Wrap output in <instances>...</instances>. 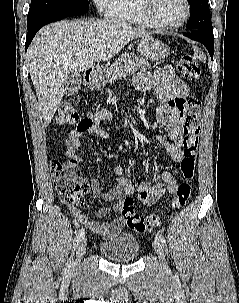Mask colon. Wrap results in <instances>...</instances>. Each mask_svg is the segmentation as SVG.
<instances>
[{
	"mask_svg": "<svg viewBox=\"0 0 239 303\" xmlns=\"http://www.w3.org/2000/svg\"><path fill=\"white\" fill-rule=\"evenodd\" d=\"M178 69L185 78L191 80L200 78L201 72L198 62L191 55L186 54L181 57ZM201 111V101L197 97L191 96L187 102V115L183 125V157L180 161L183 181L178 185L172 200L174 208L183 207L190 199L192 193L201 129ZM80 119V113L75 107L73 100L67 99L63 101L58 109L56 122L60 124H75ZM51 175L57 195L63 204L79 206L84 203V196L89 189V184L82 176L75 160L53 162ZM121 215L130 229L141 233L151 231L161 224V219L156 214L146 216L138 214L135 211L134 200L130 196L123 200Z\"/></svg>",
	"mask_w": 239,
	"mask_h": 303,
	"instance_id": "colon-1",
	"label": "colon"
}]
</instances>
